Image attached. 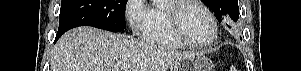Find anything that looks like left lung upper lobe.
<instances>
[{
  "label": "left lung upper lobe",
  "mask_w": 301,
  "mask_h": 71,
  "mask_svg": "<svg viewBox=\"0 0 301 71\" xmlns=\"http://www.w3.org/2000/svg\"><path fill=\"white\" fill-rule=\"evenodd\" d=\"M215 12L219 22L230 16L234 21L239 18L238 0H203Z\"/></svg>",
  "instance_id": "obj_1"
}]
</instances>
